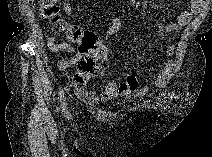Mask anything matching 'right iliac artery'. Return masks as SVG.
Instances as JSON below:
<instances>
[{
    "instance_id": "right-iliac-artery-1",
    "label": "right iliac artery",
    "mask_w": 212,
    "mask_h": 157,
    "mask_svg": "<svg viewBox=\"0 0 212 157\" xmlns=\"http://www.w3.org/2000/svg\"><path fill=\"white\" fill-rule=\"evenodd\" d=\"M60 100H61V108L64 111L65 110V102H64V91L60 90Z\"/></svg>"
}]
</instances>
